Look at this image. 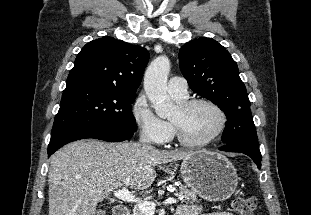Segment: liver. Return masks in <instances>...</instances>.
I'll return each instance as SVG.
<instances>
[{
	"label": "liver",
	"instance_id": "obj_1",
	"mask_svg": "<svg viewBox=\"0 0 311 215\" xmlns=\"http://www.w3.org/2000/svg\"><path fill=\"white\" fill-rule=\"evenodd\" d=\"M191 154L135 142L70 143L50 158L49 215H96L98 203L110 192L122 186L148 189L156 178L155 166Z\"/></svg>",
	"mask_w": 311,
	"mask_h": 215
}]
</instances>
